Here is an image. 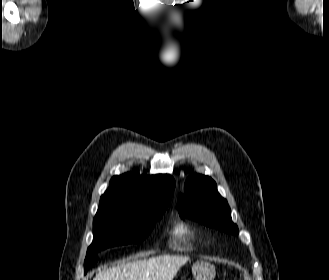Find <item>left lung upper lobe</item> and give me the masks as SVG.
Segmentation results:
<instances>
[{
  "label": "left lung upper lobe",
  "instance_id": "1",
  "mask_svg": "<svg viewBox=\"0 0 329 280\" xmlns=\"http://www.w3.org/2000/svg\"><path fill=\"white\" fill-rule=\"evenodd\" d=\"M177 208L182 218L188 217L206 226L238 235V227L232 222L227 201L221 197L216 183L208 176L196 174L186 180Z\"/></svg>",
  "mask_w": 329,
  "mask_h": 280
}]
</instances>
